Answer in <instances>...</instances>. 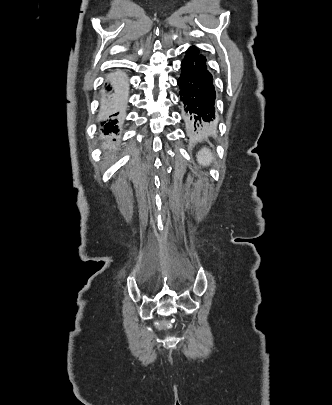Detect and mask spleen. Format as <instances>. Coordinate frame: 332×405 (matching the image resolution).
Here are the masks:
<instances>
[{
  "instance_id": "obj_1",
  "label": "spleen",
  "mask_w": 332,
  "mask_h": 405,
  "mask_svg": "<svg viewBox=\"0 0 332 405\" xmlns=\"http://www.w3.org/2000/svg\"><path fill=\"white\" fill-rule=\"evenodd\" d=\"M212 160H214V155L208 148H202L197 154V162L201 166H209Z\"/></svg>"
}]
</instances>
